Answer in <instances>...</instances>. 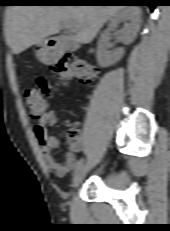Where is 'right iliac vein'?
<instances>
[{"instance_id": "1", "label": "right iliac vein", "mask_w": 170, "mask_h": 231, "mask_svg": "<svg viewBox=\"0 0 170 231\" xmlns=\"http://www.w3.org/2000/svg\"><path fill=\"white\" fill-rule=\"evenodd\" d=\"M88 171V166H81L74 174L72 179V186L77 187L85 178Z\"/></svg>"}]
</instances>
